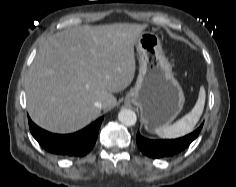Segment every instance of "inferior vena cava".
<instances>
[{
	"instance_id": "1",
	"label": "inferior vena cava",
	"mask_w": 236,
	"mask_h": 187,
	"mask_svg": "<svg viewBox=\"0 0 236 187\" xmlns=\"http://www.w3.org/2000/svg\"><path fill=\"white\" fill-rule=\"evenodd\" d=\"M95 107H97L98 109H101L103 107V104L99 101L95 102Z\"/></svg>"
}]
</instances>
